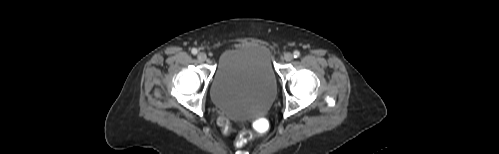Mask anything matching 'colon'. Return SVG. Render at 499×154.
<instances>
[{
	"mask_svg": "<svg viewBox=\"0 0 499 154\" xmlns=\"http://www.w3.org/2000/svg\"><path fill=\"white\" fill-rule=\"evenodd\" d=\"M218 124L222 127L224 132L229 130V122L226 118H219ZM254 129L258 133H265L268 130V124L265 121H257L254 124ZM252 133L249 131L241 132L236 138V145L241 147L244 146L252 138Z\"/></svg>",
	"mask_w": 499,
	"mask_h": 154,
	"instance_id": "obj_1",
	"label": "colon"
}]
</instances>
